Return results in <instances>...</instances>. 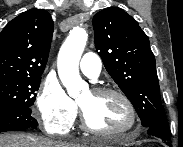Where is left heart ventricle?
<instances>
[{
	"instance_id": "1",
	"label": "left heart ventricle",
	"mask_w": 183,
	"mask_h": 147,
	"mask_svg": "<svg viewBox=\"0 0 183 147\" xmlns=\"http://www.w3.org/2000/svg\"><path fill=\"white\" fill-rule=\"evenodd\" d=\"M91 125L101 130H121L130 124L124 102L113 95L98 96L88 91L79 100Z\"/></svg>"
}]
</instances>
